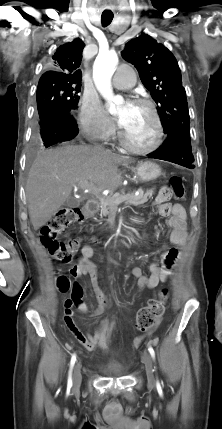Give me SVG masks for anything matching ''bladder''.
<instances>
[{"mask_svg": "<svg viewBox=\"0 0 222 429\" xmlns=\"http://www.w3.org/2000/svg\"><path fill=\"white\" fill-rule=\"evenodd\" d=\"M113 374H123V369H118L113 372Z\"/></svg>", "mask_w": 222, "mask_h": 429, "instance_id": "31cf9c89", "label": "bladder"}]
</instances>
